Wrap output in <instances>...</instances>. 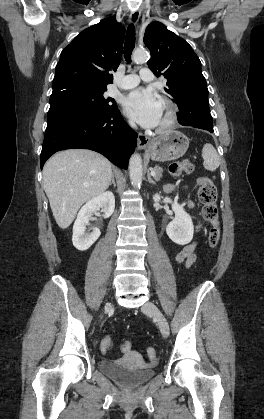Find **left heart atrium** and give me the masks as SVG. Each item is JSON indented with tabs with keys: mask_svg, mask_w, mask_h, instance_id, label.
<instances>
[{
	"mask_svg": "<svg viewBox=\"0 0 264 419\" xmlns=\"http://www.w3.org/2000/svg\"><path fill=\"white\" fill-rule=\"evenodd\" d=\"M126 113L144 127H155L161 119V103L148 89L137 88L124 100Z\"/></svg>",
	"mask_w": 264,
	"mask_h": 419,
	"instance_id": "39dd6f15",
	"label": "left heart atrium"
}]
</instances>
